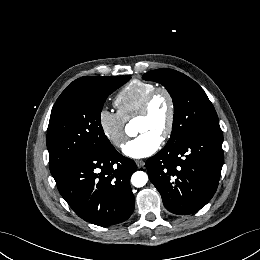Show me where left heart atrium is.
<instances>
[{"instance_id":"obj_1","label":"left heart atrium","mask_w":260,"mask_h":260,"mask_svg":"<svg viewBox=\"0 0 260 260\" xmlns=\"http://www.w3.org/2000/svg\"><path fill=\"white\" fill-rule=\"evenodd\" d=\"M160 145V137L151 132H144L128 141L123 147V152L131 158H145L154 154Z\"/></svg>"}]
</instances>
